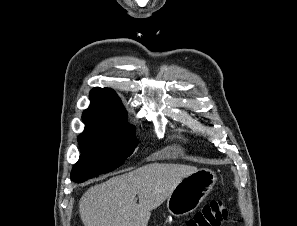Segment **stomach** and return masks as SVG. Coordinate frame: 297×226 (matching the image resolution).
Returning <instances> with one entry per match:
<instances>
[{
    "label": "stomach",
    "instance_id": "obj_1",
    "mask_svg": "<svg viewBox=\"0 0 297 226\" xmlns=\"http://www.w3.org/2000/svg\"><path fill=\"white\" fill-rule=\"evenodd\" d=\"M216 180L215 173L205 168L183 178L167 199L168 211L176 217L193 212L209 194Z\"/></svg>",
    "mask_w": 297,
    "mask_h": 226
}]
</instances>
